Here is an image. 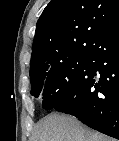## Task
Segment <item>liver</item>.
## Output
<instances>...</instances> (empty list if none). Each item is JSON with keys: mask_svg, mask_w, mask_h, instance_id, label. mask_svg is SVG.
Masks as SVG:
<instances>
[{"mask_svg": "<svg viewBox=\"0 0 119 141\" xmlns=\"http://www.w3.org/2000/svg\"><path fill=\"white\" fill-rule=\"evenodd\" d=\"M31 141H115L95 132L72 116L50 114L36 127Z\"/></svg>", "mask_w": 119, "mask_h": 141, "instance_id": "obj_1", "label": "liver"}]
</instances>
